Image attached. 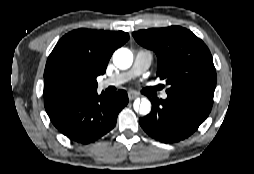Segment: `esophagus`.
I'll use <instances>...</instances> for the list:
<instances>
[{"mask_svg":"<svg viewBox=\"0 0 254 174\" xmlns=\"http://www.w3.org/2000/svg\"><path fill=\"white\" fill-rule=\"evenodd\" d=\"M137 97H138V95L135 94V93H132V92L128 93V98H129L130 101L136 99Z\"/></svg>","mask_w":254,"mask_h":174,"instance_id":"1","label":"esophagus"}]
</instances>
